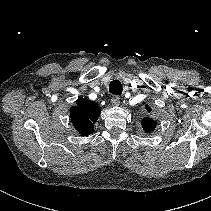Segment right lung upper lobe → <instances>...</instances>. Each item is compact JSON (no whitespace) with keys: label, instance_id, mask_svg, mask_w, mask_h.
<instances>
[{"label":"right lung upper lobe","instance_id":"right-lung-upper-lobe-1","mask_svg":"<svg viewBox=\"0 0 211 211\" xmlns=\"http://www.w3.org/2000/svg\"><path fill=\"white\" fill-rule=\"evenodd\" d=\"M76 104L70 110L73 125L81 135H89L94 131L93 123L98 120L100 107L87 98H79Z\"/></svg>","mask_w":211,"mask_h":211}]
</instances>
